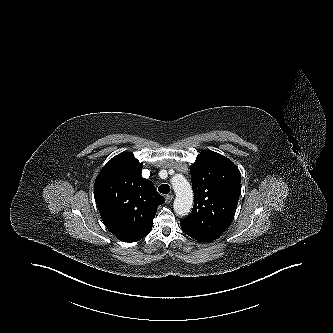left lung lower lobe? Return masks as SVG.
<instances>
[{"instance_id": "1", "label": "left lung lower lobe", "mask_w": 333, "mask_h": 333, "mask_svg": "<svg viewBox=\"0 0 333 333\" xmlns=\"http://www.w3.org/2000/svg\"><path fill=\"white\" fill-rule=\"evenodd\" d=\"M181 228H182V230H183L187 235H189L191 238L196 239V240H198V241H201V242H209V241H212V240H213V239H211V238H209V237H207V236H204V235H202V234H200V233H197V232H195V231H192V230H190V229H188V228H186V227L181 226Z\"/></svg>"}]
</instances>
